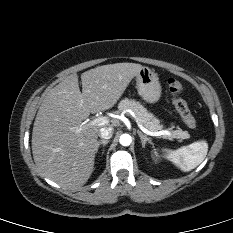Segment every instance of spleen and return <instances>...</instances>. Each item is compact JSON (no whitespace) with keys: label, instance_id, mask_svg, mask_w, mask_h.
I'll list each match as a JSON object with an SVG mask.
<instances>
[{"label":"spleen","instance_id":"obj_1","mask_svg":"<svg viewBox=\"0 0 233 233\" xmlns=\"http://www.w3.org/2000/svg\"><path fill=\"white\" fill-rule=\"evenodd\" d=\"M166 158L172 161L183 172L196 168L206 157L208 144L205 140L194 142L177 150L165 149Z\"/></svg>","mask_w":233,"mask_h":233}]
</instances>
